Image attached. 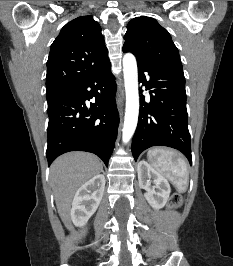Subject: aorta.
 Segmentation results:
<instances>
[{"label": "aorta", "mask_w": 233, "mask_h": 266, "mask_svg": "<svg viewBox=\"0 0 233 266\" xmlns=\"http://www.w3.org/2000/svg\"><path fill=\"white\" fill-rule=\"evenodd\" d=\"M123 72L126 92V108L122 140L128 143L137 127L139 115L138 71L136 58L131 53L123 57Z\"/></svg>", "instance_id": "obj_1"}]
</instances>
